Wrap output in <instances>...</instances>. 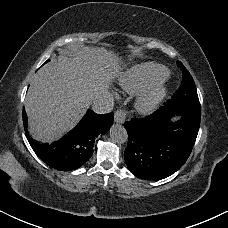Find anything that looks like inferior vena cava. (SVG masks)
I'll use <instances>...</instances> for the list:
<instances>
[{"mask_svg":"<svg viewBox=\"0 0 228 228\" xmlns=\"http://www.w3.org/2000/svg\"><path fill=\"white\" fill-rule=\"evenodd\" d=\"M92 110L96 114H108L114 109L113 96L110 93L95 94L92 96Z\"/></svg>","mask_w":228,"mask_h":228,"instance_id":"obj_1","label":"inferior vena cava"}]
</instances>
